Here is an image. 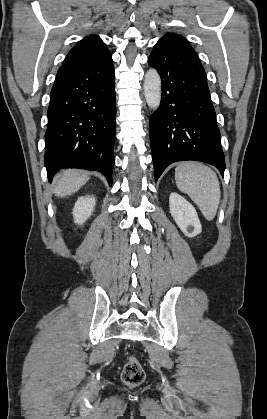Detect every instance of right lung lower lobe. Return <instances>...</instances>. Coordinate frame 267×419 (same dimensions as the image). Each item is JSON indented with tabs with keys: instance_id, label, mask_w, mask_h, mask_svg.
<instances>
[{
	"instance_id": "1",
	"label": "right lung lower lobe",
	"mask_w": 267,
	"mask_h": 419,
	"mask_svg": "<svg viewBox=\"0 0 267 419\" xmlns=\"http://www.w3.org/2000/svg\"><path fill=\"white\" fill-rule=\"evenodd\" d=\"M113 61L97 67L62 66L50 94L45 166L99 171L112 184L115 142Z\"/></svg>"
}]
</instances>
